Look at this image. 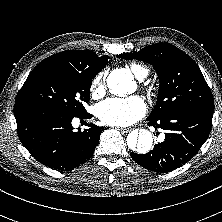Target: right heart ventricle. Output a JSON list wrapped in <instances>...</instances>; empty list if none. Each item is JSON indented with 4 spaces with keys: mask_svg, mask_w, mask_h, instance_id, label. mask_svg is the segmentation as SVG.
<instances>
[{
    "mask_svg": "<svg viewBox=\"0 0 222 222\" xmlns=\"http://www.w3.org/2000/svg\"><path fill=\"white\" fill-rule=\"evenodd\" d=\"M129 69L138 79H143L148 75V69L139 63L129 64Z\"/></svg>",
    "mask_w": 222,
    "mask_h": 222,
    "instance_id": "e07e8e85",
    "label": "right heart ventricle"
}]
</instances>
